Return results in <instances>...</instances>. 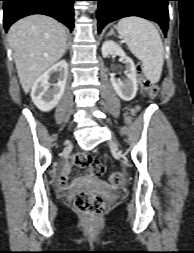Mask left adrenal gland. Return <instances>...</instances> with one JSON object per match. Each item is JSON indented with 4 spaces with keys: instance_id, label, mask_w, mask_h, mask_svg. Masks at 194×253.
Returning <instances> with one entry per match:
<instances>
[{
    "instance_id": "left-adrenal-gland-1",
    "label": "left adrenal gland",
    "mask_w": 194,
    "mask_h": 253,
    "mask_svg": "<svg viewBox=\"0 0 194 253\" xmlns=\"http://www.w3.org/2000/svg\"><path fill=\"white\" fill-rule=\"evenodd\" d=\"M113 33H114V30L111 29V30L107 33V36H109V35H111V34H113Z\"/></svg>"
}]
</instances>
